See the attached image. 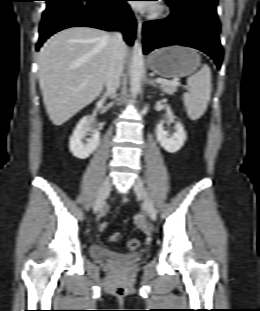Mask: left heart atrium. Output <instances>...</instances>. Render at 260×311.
<instances>
[{"label": "left heart atrium", "instance_id": "obj_1", "mask_svg": "<svg viewBox=\"0 0 260 311\" xmlns=\"http://www.w3.org/2000/svg\"><path fill=\"white\" fill-rule=\"evenodd\" d=\"M140 9H152L153 5H143V4H136Z\"/></svg>", "mask_w": 260, "mask_h": 311}]
</instances>
